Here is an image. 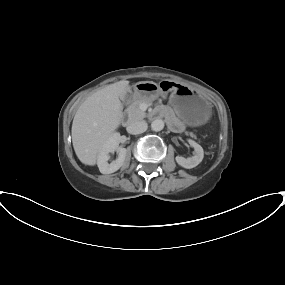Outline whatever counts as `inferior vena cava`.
<instances>
[{
    "instance_id": "obj_1",
    "label": "inferior vena cava",
    "mask_w": 285,
    "mask_h": 285,
    "mask_svg": "<svg viewBox=\"0 0 285 285\" xmlns=\"http://www.w3.org/2000/svg\"><path fill=\"white\" fill-rule=\"evenodd\" d=\"M147 123L145 121H135L129 124L127 131L130 134H141L147 130Z\"/></svg>"
}]
</instances>
